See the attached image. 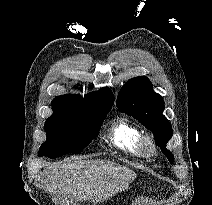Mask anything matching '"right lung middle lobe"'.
I'll return each mask as SVG.
<instances>
[{
    "mask_svg": "<svg viewBox=\"0 0 212 205\" xmlns=\"http://www.w3.org/2000/svg\"><path fill=\"white\" fill-rule=\"evenodd\" d=\"M112 106L80 108L66 111L60 116L49 117L44 128L47 140L39 156L60 157L77 154L95 138Z\"/></svg>",
    "mask_w": 212,
    "mask_h": 205,
    "instance_id": "1",
    "label": "right lung middle lobe"
}]
</instances>
